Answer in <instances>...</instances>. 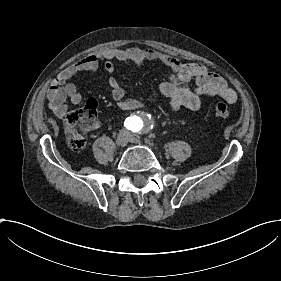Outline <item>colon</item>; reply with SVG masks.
Segmentation results:
<instances>
[{
    "label": "colon",
    "instance_id": "obj_1",
    "mask_svg": "<svg viewBox=\"0 0 281 281\" xmlns=\"http://www.w3.org/2000/svg\"><path fill=\"white\" fill-rule=\"evenodd\" d=\"M212 114L220 119L226 120L230 115V108L226 103L215 102L211 108ZM66 128L69 134V142L72 148L79 150L85 146V125L78 113H70L66 118Z\"/></svg>",
    "mask_w": 281,
    "mask_h": 281
}]
</instances>
